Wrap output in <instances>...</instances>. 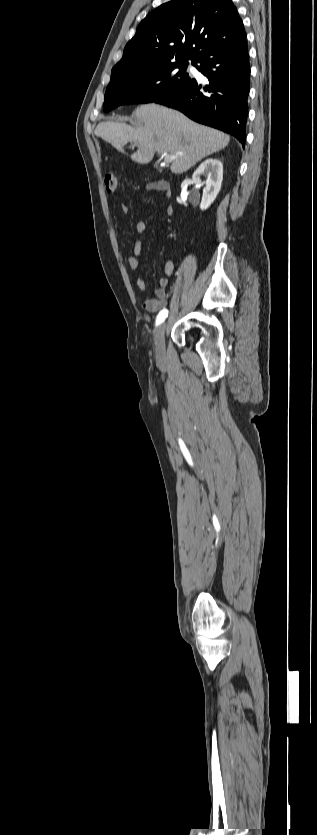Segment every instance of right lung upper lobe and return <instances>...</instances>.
<instances>
[{
	"label": "right lung upper lobe",
	"instance_id": "obj_1",
	"mask_svg": "<svg viewBox=\"0 0 317 835\" xmlns=\"http://www.w3.org/2000/svg\"><path fill=\"white\" fill-rule=\"evenodd\" d=\"M243 39V22L231 0H173L141 21L112 71L197 62L202 55Z\"/></svg>",
	"mask_w": 317,
	"mask_h": 835
}]
</instances>
